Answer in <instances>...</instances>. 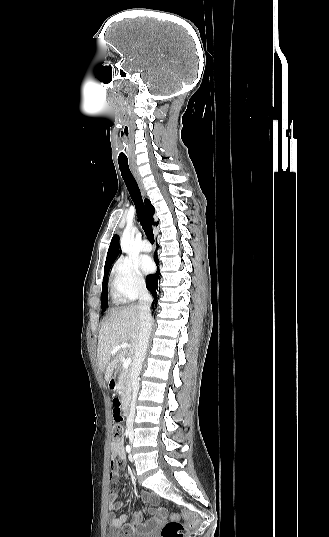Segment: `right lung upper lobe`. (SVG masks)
Here are the masks:
<instances>
[{"instance_id": "obj_1", "label": "right lung upper lobe", "mask_w": 329, "mask_h": 537, "mask_svg": "<svg viewBox=\"0 0 329 537\" xmlns=\"http://www.w3.org/2000/svg\"><path fill=\"white\" fill-rule=\"evenodd\" d=\"M145 205H146V209H147V212H148L150 222L153 225H155V222L152 219L153 214L155 213V209L151 205V202L148 199H145ZM118 244H119V236L114 235L112 240H111L109 249H108L104 270L106 268L110 267L113 264V262L115 261V259L117 258V256L119 255Z\"/></svg>"}]
</instances>
